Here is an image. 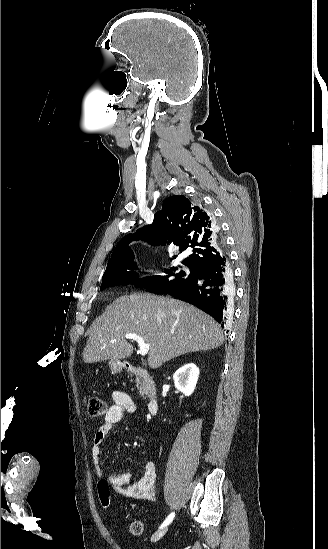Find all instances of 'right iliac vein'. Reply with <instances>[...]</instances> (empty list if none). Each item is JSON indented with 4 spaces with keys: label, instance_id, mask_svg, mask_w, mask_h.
I'll return each mask as SVG.
<instances>
[{
    "label": "right iliac vein",
    "instance_id": "1",
    "mask_svg": "<svg viewBox=\"0 0 328 549\" xmlns=\"http://www.w3.org/2000/svg\"><path fill=\"white\" fill-rule=\"evenodd\" d=\"M167 530H168V527H164L156 531L151 537V542H157L158 540H160L164 536V534L167 532Z\"/></svg>",
    "mask_w": 328,
    "mask_h": 549
}]
</instances>
